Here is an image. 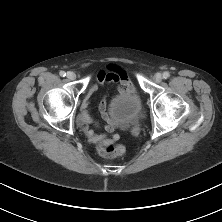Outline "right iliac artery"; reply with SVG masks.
<instances>
[{
	"mask_svg": "<svg viewBox=\"0 0 222 222\" xmlns=\"http://www.w3.org/2000/svg\"><path fill=\"white\" fill-rule=\"evenodd\" d=\"M60 76H62V77H65L66 76V73H65V71H60Z\"/></svg>",
	"mask_w": 222,
	"mask_h": 222,
	"instance_id": "right-iliac-artery-1",
	"label": "right iliac artery"
}]
</instances>
